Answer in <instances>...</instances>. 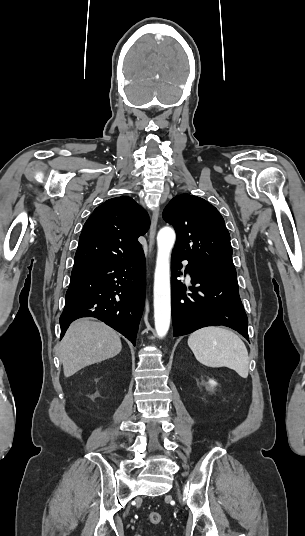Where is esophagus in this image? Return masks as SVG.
Returning <instances> with one entry per match:
<instances>
[{
    "mask_svg": "<svg viewBox=\"0 0 305 536\" xmlns=\"http://www.w3.org/2000/svg\"><path fill=\"white\" fill-rule=\"evenodd\" d=\"M158 216H159V209L156 208L154 210V212H153L151 226H150V230H149V253L152 252V248H153L154 243H155Z\"/></svg>",
    "mask_w": 305,
    "mask_h": 536,
    "instance_id": "esophagus-1",
    "label": "esophagus"
}]
</instances>
